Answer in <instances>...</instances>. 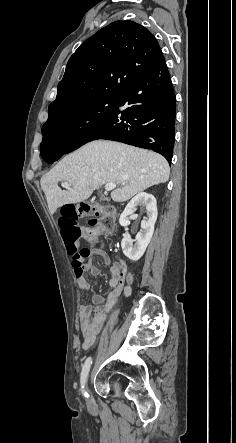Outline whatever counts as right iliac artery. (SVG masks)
Wrapping results in <instances>:
<instances>
[{"mask_svg":"<svg viewBox=\"0 0 236 443\" xmlns=\"http://www.w3.org/2000/svg\"><path fill=\"white\" fill-rule=\"evenodd\" d=\"M91 364H92V360H91V357H89V358H87V360L84 363V366H83L82 372H81V379H80L82 393H83L84 397H87V398L89 395L85 391V384H86V380H87V376H88Z\"/></svg>","mask_w":236,"mask_h":443,"instance_id":"1","label":"right iliac artery"}]
</instances>
